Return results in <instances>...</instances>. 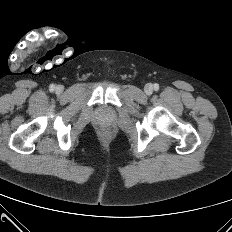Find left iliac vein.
<instances>
[{"label": "left iliac vein", "instance_id": "left-iliac-vein-1", "mask_svg": "<svg viewBox=\"0 0 232 232\" xmlns=\"http://www.w3.org/2000/svg\"><path fill=\"white\" fill-rule=\"evenodd\" d=\"M144 91L148 95L152 94V92H153V85L150 84V83L146 84L145 87H144Z\"/></svg>", "mask_w": 232, "mask_h": 232}]
</instances>
